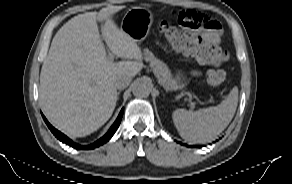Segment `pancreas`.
Segmentation results:
<instances>
[{"label": "pancreas", "mask_w": 292, "mask_h": 184, "mask_svg": "<svg viewBox=\"0 0 292 184\" xmlns=\"http://www.w3.org/2000/svg\"><path fill=\"white\" fill-rule=\"evenodd\" d=\"M144 54L145 60L150 63V67L158 78L160 84L165 88H177L176 81L173 79L168 66L161 60L157 59L149 50L146 49Z\"/></svg>", "instance_id": "pancreas-1"}]
</instances>
